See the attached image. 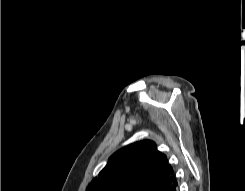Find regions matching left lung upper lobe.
<instances>
[{"mask_svg": "<svg viewBox=\"0 0 245 191\" xmlns=\"http://www.w3.org/2000/svg\"><path fill=\"white\" fill-rule=\"evenodd\" d=\"M174 175L155 142L129 144L110 156L86 191H159Z\"/></svg>", "mask_w": 245, "mask_h": 191, "instance_id": "1", "label": "left lung upper lobe"}]
</instances>
